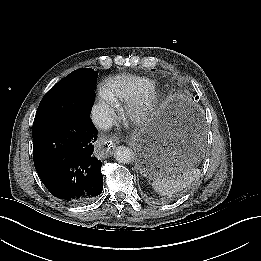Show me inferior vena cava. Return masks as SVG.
Here are the masks:
<instances>
[{
	"label": "inferior vena cava",
	"mask_w": 261,
	"mask_h": 261,
	"mask_svg": "<svg viewBox=\"0 0 261 261\" xmlns=\"http://www.w3.org/2000/svg\"><path fill=\"white\" fill-rule=\"evenodd\" d=\"M92 120L100 129H108L113 125V118L105 108H94L92 112Z\"/></svg>",
	"instance_id": "1"
}]
</instances>
